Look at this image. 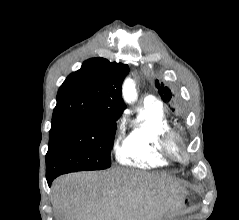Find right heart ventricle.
<instances>
[{
  "instance_id": "obj_1",
  "label": "right heart ventricle",
  "mask_w": 239,
  "mask_h": 220,
  "mask_svg": "<svg viewBox=\"0 0 239 220\" xmlns=\"http://www.w3.org/2000/svg\"><path fill=\"white\" fill-rule=\"evenodd\" d=\"M169 129L162 107L144 103L116 149L118 162L137 168L167 165L168 160L162 152L160 139Z\"/></svg>"
}]
</instances>
